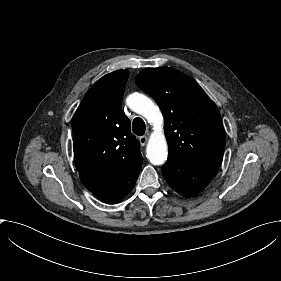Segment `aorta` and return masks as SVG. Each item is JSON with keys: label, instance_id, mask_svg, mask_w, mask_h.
Segmentation results:
<instances>
[{"label": "aorta", "instance_id": "1", "mask_svg": "<svg viewBox=\"0 0 281 281\" xmlns=\"http://www.w3.org/2000/svg\"><path fill=\"white\" fill-rule=\"evenodd\" d=\"M127 105L134 112L145 117L155 129L147 144V158L153 165H162L167 160L168 147L162 132L163 116L155 103L141 93H132L127 97Z\"/></svg>", "mask_w": 281, "mask_h": 281}]
</instances>
